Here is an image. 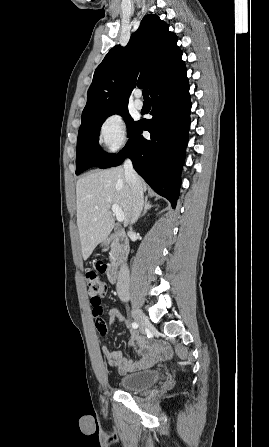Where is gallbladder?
Listing matches in <instances>:
<instances>
[{
    "mask_svg": "<svg viewBox=\"0 0 269 447\" xmlns=\"http://www.w3.org/2000/svg\"><path fill=\"white\" fill-rule=\"evenodd\" d=\"M107 247H108V245H107V243H105L103 251H107Z\"/></svg>",
    "mask_w": 269,
    "mask_h": 447,
    "instance_id": "1",
    "label": "gallbladder"
}]
</instances>
